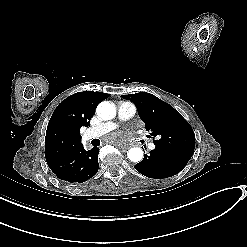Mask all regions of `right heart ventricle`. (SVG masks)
Returning <instances> with one entry per match:
<instances>
[{"label": "right heart ventricle", "mask_w": 247, "mask_h": 247, "mask_svg": "<svg viewBox=\"0 0 247 247\" xmlns=\"http://www.w3.org/2000/svg\"><path fill=\"white\" fill-rule=\"evenodd\" d=\"M126 103H128L129 105H132V106H134L131 102H126Z\"/></svg>", "instance_id": "e07e8e85"}]
</instances>
